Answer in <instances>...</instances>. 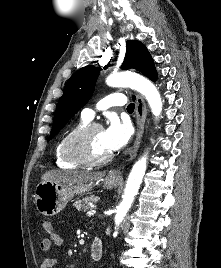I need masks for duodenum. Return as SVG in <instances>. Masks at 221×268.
Masks as SVG:
<instances>
[{"label":"duodenum","mask_w":221,"mask_h":268,"mask_svg":"<svg viewBox=\"0 0 221 268\" xmlns=\"http://www.w3.org/2000/svg\"><path fill=\"white\" fill-rule=\"evenodd\" d=\"M104 252L103 242L100 238H95L90 248V256L94 261L102 258Z\"/></svg>","instance_id":"1"}]
</instances>
